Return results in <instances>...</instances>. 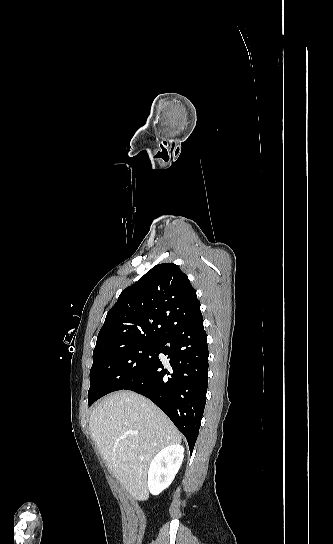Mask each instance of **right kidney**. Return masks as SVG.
Segmentation results:
<instances>
[{"label": "right kidney", "instance_id": "ca27d5eb", "mask_svg": "<svg viewBox=\"0 0 333 544\" xmlns=\"http://www.w3.org/2000/svg\"><path fill=\"white\" fill-rule=\"evenodd\" d=\"M183 458L184 448L179 444L167 446L155 455L148 471V489L152 495H159L169 487Z\"/></svg>", "mask_w": 333, "mask_h": 544}]
</instances>
